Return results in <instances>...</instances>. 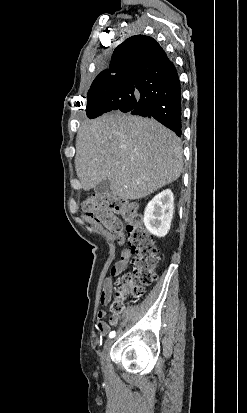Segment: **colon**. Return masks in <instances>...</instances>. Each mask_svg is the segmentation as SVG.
<instances>
[{"label":"colon","instance_id":"colon-1","mask_svg":"<svg viewBox=\"0 0 247 413\" xmlns=\"http://www.w3.org/2000/svg\"><path fill=\"white\" fill-rule=\"evenodd\" d=\"M83 208L85 213L103 227L113 232L119 239L123 235L122 221L126 222L129 250L133 257L132 273L122 274V286L114 295H118V304H110L114 314L125 309V298L139 299L143 295V287L151 285L155 280L153 269L158 263V255L153 238L144 226L139 206L127 203L112 195H98L88 199Z\"/></svg>","mask_w":247,"mask_h":413}]
</instances>
